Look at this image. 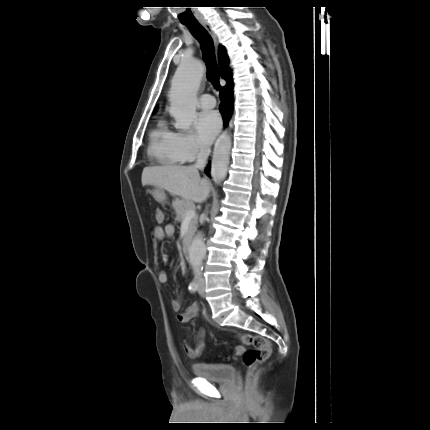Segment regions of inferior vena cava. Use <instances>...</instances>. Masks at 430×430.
<instances>
[{
    "label": "inferior vena cava",
    "instance_id": "obj_1",
    "mask_svg": "<svg viewBox=\"0 0 430 430\" xmlns=\"http://www.w3.org/2000/svg\"><path fill=\"white\" fill-rule=\"evenodd\" d=\"M210 154V148L208 147H202L197 155V160L195 164L192 166L194 170H203L206 166L208 156ZM200 280H203L202 277H200Z\"/></svg>",
    "mask_w": 430,
    "mask_h": 430
}]
</instances>
